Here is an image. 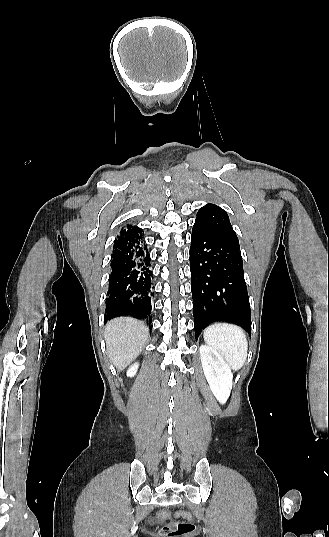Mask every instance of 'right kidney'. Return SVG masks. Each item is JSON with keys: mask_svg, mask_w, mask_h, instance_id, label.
I'll list each match as a JSON object with an SVG mask.
<instances>
[{"mask_svg": "<svg viewBox=\"0 0 329 537\" xmlns=\"http://www.w3.org/2000/svg\"><path fill=\"white\" fill-rule=\"evenodd\" d=\"M138 369V363L133 364L127 371V376L133 377Z\"/></svg>", "mask_w": 329, "mask_h": 537, "instance_id": "ca27d5eb", "label": "right kidney"}]
</instances>
